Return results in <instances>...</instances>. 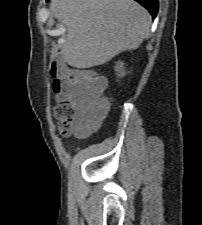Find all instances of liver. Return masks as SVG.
<instances>
[{"label": "liver", "instance_id": "liver-1", "mask_svg": "<svg viewBox=\"0 0 202 225\" xmlns=\"http://www.w3.org/2000/svg\"><path fill=\"white\" fill-rule=\"evenodd\" d=\"M50 9L67 28L61 54L75 68L137 49L151 25L148 11L134 0H52Z\"/></svg>", "mask_w": 202, "mask_h": 225}]
</instances>
